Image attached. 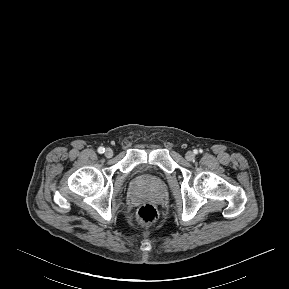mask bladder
I'll list each match as a JSON object with an SVG mask.
<instances>
[{
    "mask_svg": "<svg viewBox=\"0 0 289 289\" xmlns=\"http://www.w3.org/2000/svg\"><path fill=\"white\" fill-rule=\"evenodd\" d=\"M141 170H142V167H137V168L134 169L133 172H134V173H138V172H140Z\"/></svg>",
    "mask_w": 289,
    "mask_h": 289,
    "instance_id": "bladder-1",
    "label": "bladder"
}]
</instances>
